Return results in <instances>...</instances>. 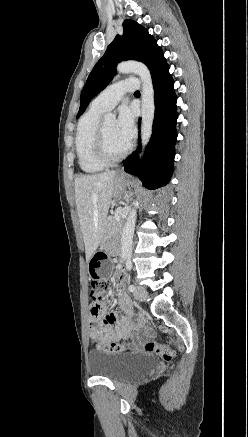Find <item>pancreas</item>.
Wrapping results in <instances>:
<instances>
[{
	"label": "pancreas",
	"instance_id": "1",
	"mask_svg": "<svg viewBox=\"0 0 248 437\" xmlns=\"http://www.w3.org/2000/svg\"><path fill=\"white\" fill-rule=\"evenodd\" d=\"M122 224L121 217L117 219L115 216L109 218L106 222V233L107 236L114 237L118 234Z\"/></svg>",
	"mask_w": 248,
	"mask_h": 437
}]
</instances>
